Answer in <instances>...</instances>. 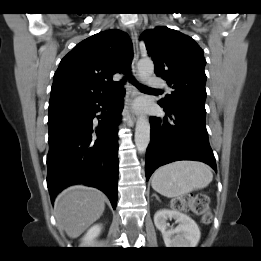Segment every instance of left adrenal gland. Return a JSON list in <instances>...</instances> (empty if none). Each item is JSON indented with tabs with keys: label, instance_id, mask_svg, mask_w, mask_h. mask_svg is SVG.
Here are the masks:
<instances>
[{
	"label": "left adrenal gland",
	"instance_id": "obj_1",
	"mask_svg": "<svg viewBox=\"0 0 261 261\" xmlns=\"http://www.w3.org/2000/svg\"><path fill=\"white\" fill-rule=\"evenodd\" d=\"M153 196H155L156 199H157L158 201H160L159 197H158L156 194H153Z\"/></svg>",
	"mask_w": 261,
	"mask_h": 261
}]
</instances>
